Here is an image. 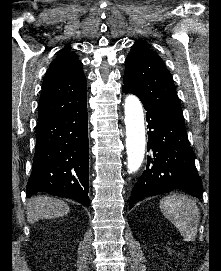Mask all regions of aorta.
<instances>
[{
  "label": "aorta",
  "mask_w": 221,
  "mask_h": 271,
  "mask_svg": "<svg viewBox=\"0 0 221 271\" xmlns=\"http://www.w3.org/2000/svg\"><path fill=\"white\" fill-rule=\"evenodd\" d=\"M125 126L127 168L130 173L136 172L142 165L145 154V126L143 107L139 98L128 95L125 99Z\"/></svg>",
  "instance_id": "obj_1"
}]
</instances>
